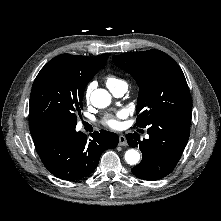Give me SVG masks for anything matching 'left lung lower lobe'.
Instances as JSON below:
<instances>
[{
	"mask_svg": "<svg viewBox=\"0 0 221 221\" xmlns=\"http://www.w3.org/2000/svg\"><path fill=\"white\" fill-rule=\"evenodd\" d=\"M190 120L162 117L148 125V139L140 140L138 133L127 134L130 146L139 147L143 158L131 169L137 177L155 181L170 174L177 165L188 142Z\"/></svg>",
	"mask_w": 221,
	"mask_h": 221,
	"instance_id": "1",
	"label": "left lung lower lobe"
}]
</instances>
